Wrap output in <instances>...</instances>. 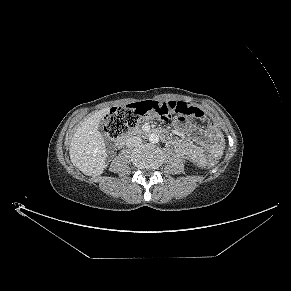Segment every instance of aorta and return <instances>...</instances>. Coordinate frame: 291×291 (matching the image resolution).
<instances>
[{"label":"aorta","mask_w":291,"mask_h":291,"mask_svg":"<svg viewBox=\"0 0 291 291\" xmlns=\"http://www.w3.org/2000/svg\"><path fill=\"white\" fill-rule=\"evenodd\" d=\"M149 142L153 143V144H156L159 142V136L155 133H152L150 136H149Z\"/></svg>","instance_id":"1"}]
</instances>
